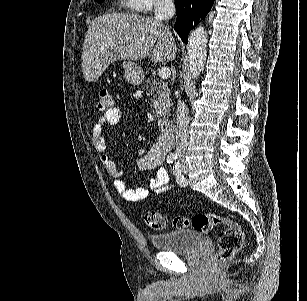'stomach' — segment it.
I'll use <instances>...</instances> for the list:
<instances>
[{
    "instance_id": "1",
    "label": "stomach",
    "mask_w": 307,
    "mask_h": 301,
    "mask_svg": "<svg viewBox=\"0 0 307 301\" xmlns=\"http://www.w3.org/2000/svg\"><path fill=\"white\" fill-rule=\"evenodd\" d=\"M121 66H123L125 78L130 84H141L143 82L145 74L138 62L123 60Z\"/></svg>"
}]
</instances>
